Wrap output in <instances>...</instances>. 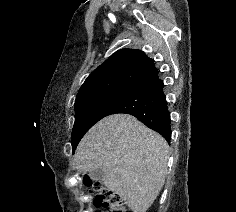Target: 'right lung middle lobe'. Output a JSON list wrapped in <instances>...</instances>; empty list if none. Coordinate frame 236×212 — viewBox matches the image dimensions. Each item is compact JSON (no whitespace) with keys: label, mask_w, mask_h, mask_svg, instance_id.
Listing matches in <instances>:
<instances>
[{"label":"right lung middle lobe","mask_w":236,"mask_h":212,"mask_svg":"<svg viewBox=\"0 0 236 212\" xmlns=\"http://www.w3.org/2000/svg\"><path fill=\"white\" fill-rule=\"evenodd\" d=\"M131 90L120 89L75 101V123L71 138L73 152L83 135L100 119L112 114Z\"/></svg>","instance_id":"right-lung-middle-lobe-1"}]
</instances>
